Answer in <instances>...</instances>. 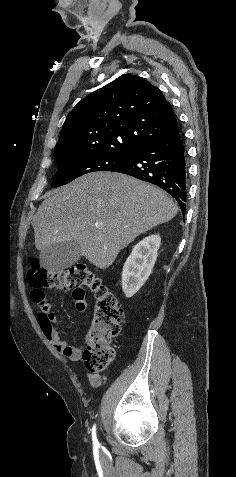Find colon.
Masks as SVG:
<instances>
[{"label": "colon", "mask_w": 236, "mask_h": 477, "mask_svg": "<svg viewBox=\"0 0 236 477\" xmlns=\"http://www.w3.org/2000/svg\"><path fill=\"white\" fill-rule=\"evenodd\" d=\"M32 299H41L46 289H73L76 294L90 290L94 294V310L86 334L84 362L93 372L106 369L114 360L113 340L119 335L124 319L116 296L102 283L94 270L76 264L62 271H48L35 260L27 273Z\"/></svg>", "instance_id": "5ec220e1"}]
</instances>
